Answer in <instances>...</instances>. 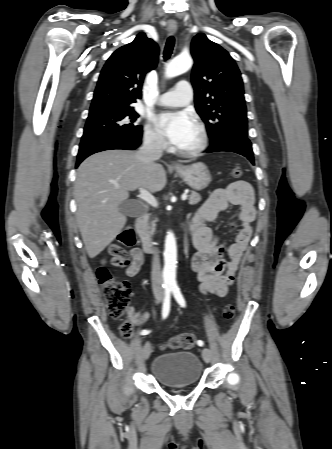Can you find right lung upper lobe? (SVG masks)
Instances as JSON below:
<instances>
[{"label": "right lung upper lobe", "mask_w": 332, "mask_h": 449, "mask_svg": "<svg viewBox=\"0 0 332 449\" xmlns=\"http://www.w3.org/2000/svg\"><path fill=\"white\" fill-rule=\"evenodd\" d=\"M158 54V45L144 33L117 49L101 71L90 113L133 108L131 105L141 98L146 73L157 65Z\"/></svg>", "instance_id": "obj_1"}]
</instances>
